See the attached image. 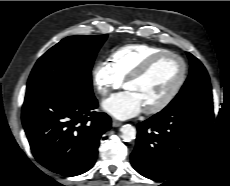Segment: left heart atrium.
Segmentation results:
<instances>
[{"mask_svg": "<svg viewBox=\"0 0 230 186\" xmlns=\"http://www.w3.org/2000/svg\"><path fill=\"white\" fill-rule=\"evenodd\" d=\"M102 106L106 112L118 119L134 117L143 110L137 95L129 90L111 96Z\"/></svg>", "mask_w": 230, "mask_h": 186, "instance_id": "left-heart-atrium-1", "label": "left heart atrium"}]
</instances>
